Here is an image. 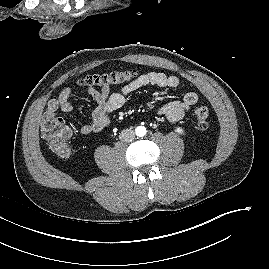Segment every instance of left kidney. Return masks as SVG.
I'll return each mask as SVG.
<instances>
[{"mask_svg": "<svg viewBox=\"0 0 269 269\" xmlns=\"http://www.w3.org/2000/svg\"><path fill=\"white\" fill-rule=\"evenodd\" d=\"M175 132H177L178 134H184L185 133L184 130L181 127H177L175 129Z\"/></svg>", "mask_w": 269, "mask_h": 269, "instance_id": "left-kidney-1", "label": "left kidney"}]
</instances>
